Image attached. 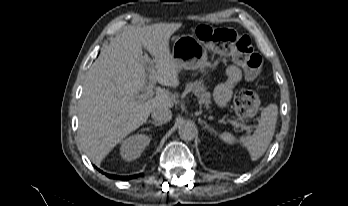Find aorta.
Here are the masks:
<instances>
[{"label":"aorta","mask_w":348,"mask_h":206,"mask_svg":"<svg viewBox=\"0 0 348 206\" xmlns=\"http://www.w3.org/2000/svg\"><path fill=\"white\" fill-rule=\"evenodd\" d=\"M178 133L182 140L191 141L195 137V127L193 124L188 122H183L178 127Z\"/></svg>","instance_id":"obj_1"}]
</instances>
